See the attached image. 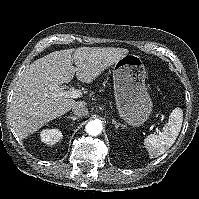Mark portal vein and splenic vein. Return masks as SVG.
I'll return each mask as SVG.
<instances>
[{"mask_svg": "<svg viewBox=\"0 0 199 199\" xmlns=\"http://www.w3.org/2000/svg\"><path fill=\"white\" fill-rule=\"evenodd\" d=\"M61 94L65 95L66 97H69V98H80L82 96L81 91L75 89L74 87H71L67 91L61 90ZM156 131L160 132V129L158 127H156Z\"/></svg>", "mask_w": 199, "mask_h": 199, "instance_id": "obj_1", "label": "portal vein and splenic vein"}]
</instances>
